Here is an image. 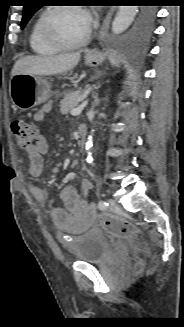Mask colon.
<instances>
[{
	"label": "colon",
	"instance_id": "5ec220e1",
	"mask_svg": "<svg viewBox=\"0 0 184 327\" xmlns=\"http://www.w3.org/2000/svg\"><path fill=\"white\" fill-rule=\"evenodd\" d=\"M11 131L17 145L22 149H29L35 143L38 136L36 125L23 116H18L12 121ZM99 222L103 226L109 227L110 231L118 237L127 238L133 234V230L127 223L118 220H110L105 215L99 216Z\"/></svg>",
	"mask_w": 184,
	"mask_h": 327
}]
</instances>
